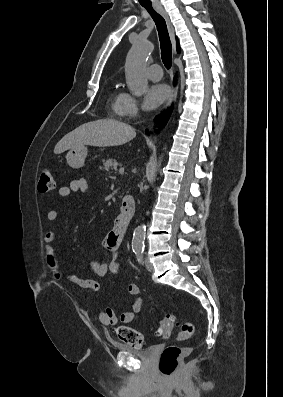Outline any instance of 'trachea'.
<instances>
[{"mask_svg": "<svg viewBox=\"0 0 283 397\" xmlns=\"http://www.w3.org/2000/svg\"><path fill=\"white\" fill-rule=\"evenodd\" d=\"M143 7L149 12L156 24L160 41L161 58L165 67L170 69L172 65V45L165 19L153 9L152 5H143Z\"/></svg>", "mask_w": 283, "mask_h": 397, "instance_id": "trachea-1", "label": "trachea"}]
</instances>
